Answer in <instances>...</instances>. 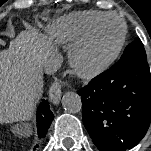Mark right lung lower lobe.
Listing matches in <instances>:
<instances>
[{
  "mask_svg": "<svg viewBox=\"0 0 151 151\" xmlns=\"http://www.w3.org/2000/svg\"><path fill=\"white\" fill-rule=\"evenodd\" d=\"M37 131L38 137L44 138L47 130L50 127L54 115L50 110L49 103L47 100H43L37 108ZM37 146L34 147V150Z\"/></svg>",
  "mask_w": 151,
  "mask_h": 151,
  "instance_id": "obj_1",
  "label": "right lung lower lobe"
}]
</instances>
